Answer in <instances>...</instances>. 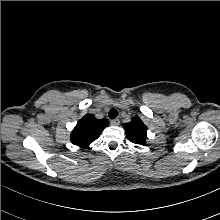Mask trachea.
<instances>
[{"instance_id": "3493384b", "label": "trachea", "mask_w": 220, "mask_h": 220, "mask_svg": "<svg viewBox=\"0 0 220 220\" xmlns=\"http://www.w3.org/2000/svg\"><path fill=\"white\" fill-rule=\"evenodd\" d=\"M108 116L110 119H115L118 116V111L116 109H111Z\"/></svg>"}]
</instances>
